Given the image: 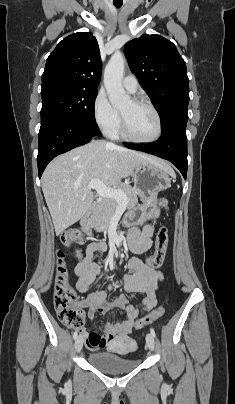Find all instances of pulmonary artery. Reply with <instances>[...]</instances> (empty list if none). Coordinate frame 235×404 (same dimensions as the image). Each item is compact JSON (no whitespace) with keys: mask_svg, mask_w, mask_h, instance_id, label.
<instances>
[{"mask_svg":"<svg viewBox=\"0 0 235 404\" xmlns=\"http://www.w3.org/2000/svg\"><path fill=\"white\" fill-rule=\"evenodd\" d=\"M123 87L130 93H136L138 81L133 75H127L122 80Z\"/></svg>","mask_w":235,"mask_h":404,"instance_id":"e3ab8cb5","label":"pulmonary artery"}]
</instances>
